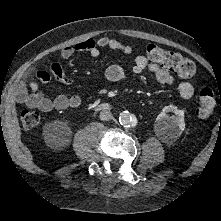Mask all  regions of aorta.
I'll list each match as a JSON object with an SVG mask.
<instances>
[{"label": "aorta", "instance_id": "obj_1", "mask_svg": "<svg viewBox=\"0 0 221 221\" xmlns=\"http://www.w3.org/2000/svg\"><path fill=\"white\" fill-rule=\"evenodd\" d=\"M119 122L124 127H132L137 124V119L128 111H123L119 115Z\"/></svg>", "mask_w": 221, "mask_h": 221}]
</instances>
